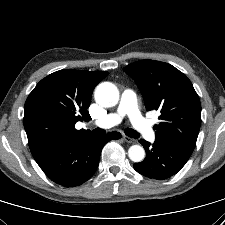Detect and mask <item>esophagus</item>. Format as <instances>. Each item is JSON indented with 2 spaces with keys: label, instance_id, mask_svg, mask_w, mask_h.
<instances>
[{
  "label": "esophagus",
  "instance_id": "1",
  "mask_svg": "<svg viewBox=\"0 0 225 225\" xmlns=\"http://www.w3.org/2000/svg\"><path fill=\"white\" fill-rule=\"evenodd\" d=\"M123 139H124L125 142L130 143V144L136 143V140L135 139L130 138L128 136H123Z\"/></svg>",
  "mask_w": 225,
  "mask_h": 225
}]
</instances>
